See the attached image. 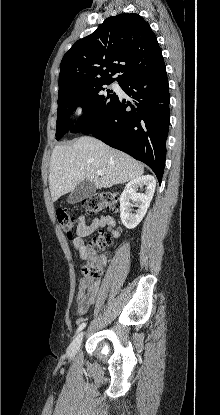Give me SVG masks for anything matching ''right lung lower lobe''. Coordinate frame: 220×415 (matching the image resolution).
<instances>
[{
    "label": "right lung lower lobe",
    "instance_id": "98d812e1",
    "mask_svg": "<svg viewBox=\"0 0 220 415\" xmlns=\"http://www.w3.org/2000/svg\"><path fill=\"white\" fill-rule=\"evenodd\" d=\"M120 87L132 101L117 96L107 119L92 134L113 148L147 164L161 183L170 122L165 63L127 78Z\"/></svg>",
    "mask_w": 220,
    "mask_h": 415
}]
</instances>
